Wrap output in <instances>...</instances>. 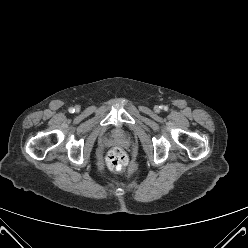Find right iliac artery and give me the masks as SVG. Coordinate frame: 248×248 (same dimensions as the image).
I'll return each mask as SVG.
<instances>
[{
  "mask_svg": "<svg viewBox=\"0 0 248 248\" xmlns=\"http://www.w3.org/2000/svg\"><path fill=\"white\" fill-rule=\"evenodd\" d=\"M74 111H75L74 108H70V109H69V112H70V113H73Z\"/></svg>",
  "mask_w": 248,
  "mask_h": 248,
  "instance_id": "1",
  "label": "right iliac artery"
}]
</instances>
